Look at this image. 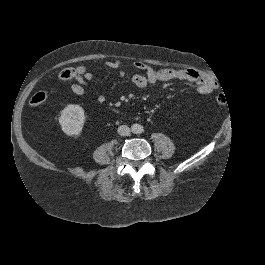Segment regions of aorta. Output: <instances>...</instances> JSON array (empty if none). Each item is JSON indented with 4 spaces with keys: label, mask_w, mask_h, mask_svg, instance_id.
I'll list each match as a JSON object with an SVG mask.
<instances>
[{
    "label": "aorta",
    "mask_w": 265,
    "mask_h": 265,
    "mask_svg": "<svg viewBox=\"0 0 265 265\" xmlns=\"http://www.w3.org/2000/svg\"><path fill=\"white\" fill-rule=\"evenodd\" d=\"M131 131L134 133V134H139V133H142L143 132V126L138 124V123H134L132 126H131Z\"/></svg>",
    "instance_id": "aorta-1"
}]
</instances>
